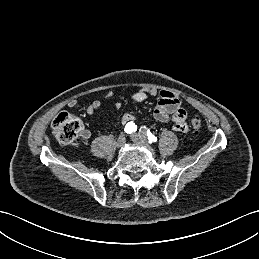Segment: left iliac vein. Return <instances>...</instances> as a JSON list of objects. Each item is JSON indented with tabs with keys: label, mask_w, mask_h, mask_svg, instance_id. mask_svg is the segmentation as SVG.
<instances>
[{
	"label": "left iliac vein",
	"mask_w": 259,
	"mask_h": 259,
	"mask_svg": "<svg viewBox=\"0 0 259 259\" xmlns=\"http://www.w3.org/2000/svg\"><path fill=\"white\" fill-rule=\"evenodd\" d=\"M130 137L132 141L135 143L144 144V145L147 144V140L145 138L140 137L137 133L132 134Z\"/></svg>",
	"instance_id": "obj_1"
}]
</instances>
